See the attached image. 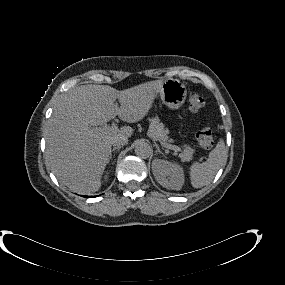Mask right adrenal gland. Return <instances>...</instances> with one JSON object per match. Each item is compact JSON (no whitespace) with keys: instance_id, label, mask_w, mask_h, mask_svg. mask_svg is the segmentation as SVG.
Listing matches in <instances>:
<instances>
[{"instance_id":"1","label":"right adrenal gland","mask_w":285,"mask_h":285,"mask_svg":"<svg viewBox=\"0 0 285 285\" xmlns=\"http://www.w3.org/2000/svg\"><path fill=\"white\" fill-rule=\"evenodd\" d=\"M121 148V146H118V147H114L112 150H111V154L109 156V161L111 160L112 158V153L115 151V150H119Z\"/></svg>"}]
</instances>
